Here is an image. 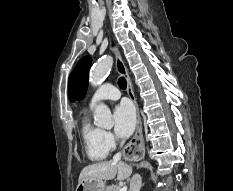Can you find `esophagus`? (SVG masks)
Returning <instances> with one entry per match:
<instances>
[{
	"label": "esophagus",
	"instance_id": "esophagus-1",
	"mask_svg": "<svg viewBox=\"0 0 233 191\" xmlns=\"http://www.w3.org/2000/svg\"><path fill=\"white\" fill-rule=\"evenodd\" d=\"M113 53L115 55V66L117 72L122 75L127 82V93L129 98L133 101L136 112H137V125H136V131L134 133V136L131 138V140L127 143L125 146L124 152H125V158H130V162H137L136 156H144V138H143V127H142V120L139 112V107L137 104L136 96L134 94L133 85L128 73V70L125 66V63L120 55V52L117 48H113Z\"/></svg>",
	"mask_w": 233,
	"mask_h": 191
}]
</instances>
